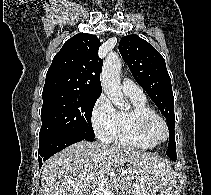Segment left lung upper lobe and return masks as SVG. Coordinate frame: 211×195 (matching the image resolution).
<instances>
[{
    "mask_svg": "<svg viewBox=\"0 0 211 195\" xmlns=\"http://www.w3.org/2000/svg\"><path fill=\"white\" fill-rule=\"evenodd\" d=\"M119 51L133 77L166 118L169 129L167 156L176 157L174 97L164 58L137 35L122 37Z\"/></svg>",
    "mask_w": 211,
    "mask_h": 195,
    "instance_id": "5c2ea615",
    "label": "left lung upper lobe"
}]
</instances>
